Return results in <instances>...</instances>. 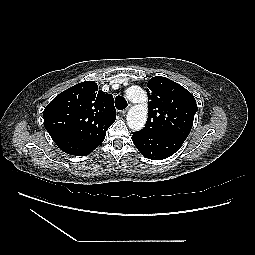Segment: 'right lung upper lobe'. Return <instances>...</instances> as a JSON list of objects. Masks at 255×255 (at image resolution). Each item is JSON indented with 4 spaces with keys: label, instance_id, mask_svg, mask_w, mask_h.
Masks as SVG:
<instances>
[{
    "label": "right lung upper lobe",
    "instance_id": "right-lung-upper-lobe-1",
    "mask_svg": "<svg viewBox=\"0 0 255 255\" xmlns=\"http://www.w3.org/2000/svg\"><path fill=\"white\" fill-rule=\"evenodd\" d=\"M113 96L98 91L94 81L78 83L58 94L44 109V126L56 145L82 156L114 123Z\"/></svg>",
    "mask_w": 255,
    "mask_h": 255
}]
</instances>
